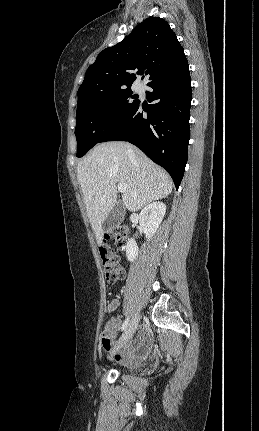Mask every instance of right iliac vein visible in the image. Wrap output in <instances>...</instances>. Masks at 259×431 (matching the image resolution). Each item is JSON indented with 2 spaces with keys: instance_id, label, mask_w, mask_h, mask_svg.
<instances>
[{
  "instance_id": "right-iliac-vein-1",
  "label": "right iliac vein",
  "mask_w": 259,
  "mask_h": 431,
  "mask_svg": "<svg viewBox=\"0 0 259 431\" xmlns=\"http://www.w3.org/2000/svg\"><path fill=\"white\" fill-rule=\"evenodd\" d=\"M138 323H139V315H135V317L131 320L129 325L126 327L124 333L122 334L117 350L130 340V338L133 336L138 326Z\"/></svg>"
}]
</instances>
